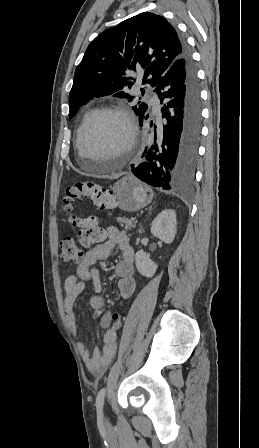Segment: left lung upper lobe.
Masks as SVG:
<instances>
[{
    "mask_svg": "<svg viewBox=\"0 0 259 448\" xmlns=\"http://www.w3.org/2000/svg\"><path fill=\"white\" fill-rule=\"evenodd\" d=\"M182 52V40L175 28L154 13H140L107 29L89 44L75 70L69 116L94 97L112 95L133 101L125 91L140 82L133 72L143 74L142 85L154 87ZM141 91L143 95L145 90ZM132 109L142 118L148 106L139 101Z\"/></svg>",
    "mask_w": 259,
    "mask_h": 448,
    "instance_id": "left-lung-upper-lobe-1",
    "label": "left lung upper lobe"
}]
</instances>
